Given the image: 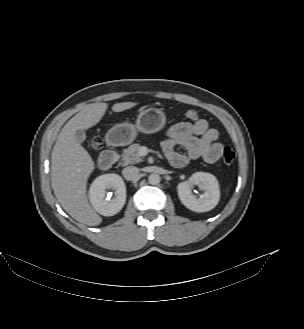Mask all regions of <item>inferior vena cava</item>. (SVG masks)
Segmentation results:
<instances>
[{"label":"inferior vena cava","mask_w":304,"mask_h":329,"mask_svg":"<svg viewBox=\"0 0 304 329\" xmlns=\"http://www.w3.org/2000/svg\"><path fill=\"white\" fill-rule=\"evenodd\" d=\"M122 174L126 180H133L139 174V169L135 166H128L122 170Z\"/></svg>","instance_id":"602c4592"}]
</instances>
